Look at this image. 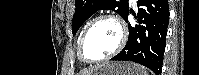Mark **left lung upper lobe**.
<instances>
[{
  "instance_id": "left-lung-upper-lobe-1",
  "label": "left lung upper lobe",
  "mask_w": 199,
  "mask_h": 75,
  "mask_svg": "<svg viewBox=\"0 0 199 75\" xmlns=\"http://www.w3.org/2000/svg\"><path fill=\"white\" fill-rule=\"evenodd\" d=\"M75 6L72 20L73 34H76L82 24L98 10H113L123 19L129 10L128 0H75Z\"/></svg>"
}]
</instances>
